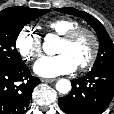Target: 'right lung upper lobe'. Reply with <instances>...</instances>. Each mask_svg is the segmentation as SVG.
Masks as SVG:
<instances>
[{
  "label": "right lung upper lobe",
  "instance_id": "cb5924a9",
  "mask_svg": "<svg viewBox=\"0 0 114 114\" xmlns=\"http://www.w3.org/2000/svg\"><path fill=\"white\" fill-rule=\"evenodd\" d=\"M30 8H26V7H10V8H6L4 9L5 11H11V12H21V11H25L28 10Z\"/></svg>",
  "mask_w": 114,
  "mask_h": 114
}]
</instances>
